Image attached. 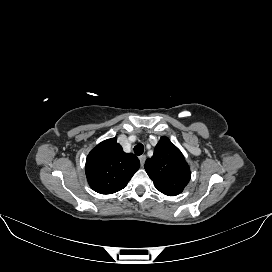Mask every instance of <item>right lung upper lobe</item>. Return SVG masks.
<instances>
[{"label":"right lung upper lobe","mask_w":272,"mask_h":272,"mask_svg":"<svg viewBox=\"0 0 272 272\" xmlns=\"http://www.w3.org/2000/svg\"><path fill=\"white\" fill-rule=\"evenodd\" d=\"M139 167V159L132 153H125L117 139L111 138L89 153L85 172L94 191L112 194L123 189Z\"/></svg>","instance_id":"obj_1"}]
</instances>
